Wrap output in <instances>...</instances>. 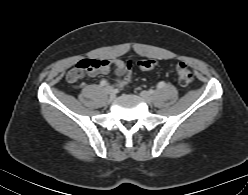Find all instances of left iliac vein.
Wrapping results in <instances>:
<instances>
[{
	"label": "left iliac vein",
	"mask_w": 248,
	"mask_h": 195,
	"mask_svg": "<svg viewBox=\"0 0 248 195\" xmlns=\"http://www.w3.org/2000/svg\"><path fill=\"white\" fill-rule=\"evenodd\" d=\"M140 96L147 102L151 103L153 101V96L150 92L148 91H141Z\"/></svg>",
	"instance_id": "1"
}]
</instances>
